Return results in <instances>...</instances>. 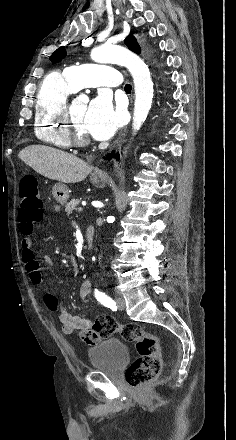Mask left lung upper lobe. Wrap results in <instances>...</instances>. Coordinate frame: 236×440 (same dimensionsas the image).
<instances>
[{
	"mask_svg": "<svg viewBox=\"0 0 236 440\" xmlns=\"http://www.w3.org/2000/svg\"><path fill=\"white\" fill-rule=\"evenodd\" d=\"M125 44L127 45V47L136 52V53H140L141 49L138 45V43L136 42V39L134 38V36H132L131 34L128 35L126 37V39L124 40ZM66 56V50L65 47H60L59 49H57L52 56L50 57V60L53 63H58L60 62L64 57Z\"/></svg>",
	"mask_w": 236,
	"mask_h": 440,
	"instance_id": "obj_1",
	"label": "left lung upper lobe"
}]
</instances>
